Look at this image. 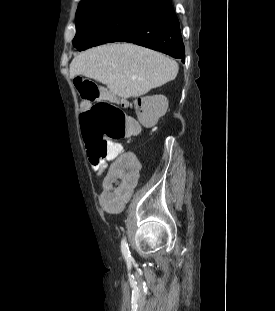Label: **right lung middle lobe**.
<instances>
[{
  "mask_svg": "<svg viewBox=\"0 0 275 311\" xmlns=\"http://www.w3.org/2000/svg\"><path fill=\"white\" fill-rule=\"evenodd\" d=\"M162 3L151 0H85L76 12L73 45L79 51L119 41L140 19Z\"/></svg>",
  "mask_w": 275,
  "mask_h": 311,
  "instance_id": "right-lung-middle-lobe-1",
  "label": "right lung middle lobe"
}]
</instances>
